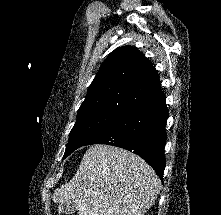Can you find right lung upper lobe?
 Listing matches in <instances>:
<instances>
[{
    "mask_svg": "<svg viewBox=\"0 0 221 215\" xmlns=\"http://www.w3.org/2000/svg\"><path fill=\"white\" fill-rule=\"evenodd\" d=\"M160 92L153 64L138 49L123 46L103 62L78 113L104 112L122 117Z\"/></svg>",
    "mask_w": 221,
    "mask_h": 215,
    "instance_id": "right-lung-upper-lobe-1",
    "label": "right lung upper lobe"
}]
</instances>
